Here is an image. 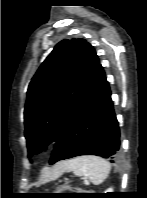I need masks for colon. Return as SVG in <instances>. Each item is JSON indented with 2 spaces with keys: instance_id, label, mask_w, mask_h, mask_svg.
<instances>
[{
  "instance_id": "colon-1",
  "label": "colon",
  "mask_w": 147,
  "mask_h": 198,
  "mask_svg": "<svg viewBox=\"0 0 147 198\" xmlns=\"http://www.w3.org/2000/svg\"><path fill=\"white\" fill-rule=\"evenodd\" d=\"M60 190L78 191L80 189L79 188H74V187L66 186V187L60 188Z\"/></svg>"
}]
</instances>
